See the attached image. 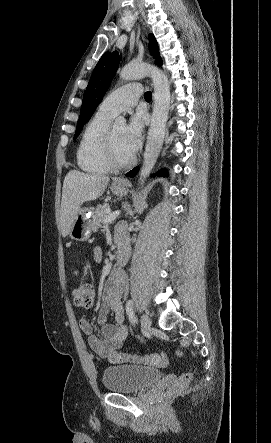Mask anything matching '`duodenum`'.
I'll return each mask as SVG.
<instances>
[{"mask_svg":"<svg viewBox=\"0 0 271 443\" xmlns=\"http://www.w3.org/2000/svg\"><path fill=\"white\" fill-rule=\"evenodd\" d=\"M124 260H125V254L122 252L120 257H119L120 264H122L124 262Z\"/></svg>","mask_w":271,"mask_h":443,"instance_id":"1","label":"duodenum"}]
</instances>
